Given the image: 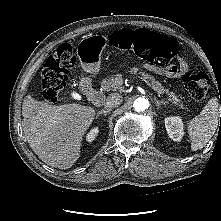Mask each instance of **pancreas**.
Listing matches in <instances>:
<instances>
[{
    "instance_id": "obj_1",
    "label": "pancreas",
    "mask_w": 221,
    "mask_h": 221,
    "mask_svg": "<svg viewBox=\"0 0 221 221\" xmlns=\"http://www.w3.org/2000/svg\"><path fill=\"white\" fill-rule=\"evenodd\" d=\"M134 74L138 72V68H133L131 70ZM139 74L142 75L140 77L145 83H147L148 86H150L153 90L157 92L158 95L161 94H167V100L171 102V104H174L178 106L180 109H184V105L181 103V100L175 95L174 92H170L169 89H166L162 86V84L155 80L153 77L149 76L148 74H145L143 72H139ZM124 80L121 74H116V75H111L108 76L107 78L103 79L101 82V86L104 90L109 91V90H116L121 88L123 85Z\"/></svg>"
}]
</instances>
